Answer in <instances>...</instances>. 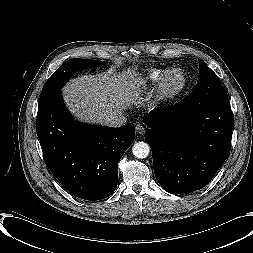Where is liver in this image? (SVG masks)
I'll return each mask as SVG.
<instances>
[{"instance_id": "liver-1", "label": "liver", "mask_w": 253, "mask_h": 253, "mask_svg": "<svg viewBox=\"0 0 253 253\" xmlns=\"http://www.w3.org/2000/svg\"><path fill=\"white\" fill-rule=\"evenodd\" d=\"M144 85L143 79L129 70L120 75H85L67 83L63 96L78 120L106 125L109 116L121 113L130 104L140 103Z\"/></svg>"}]
</instances>
